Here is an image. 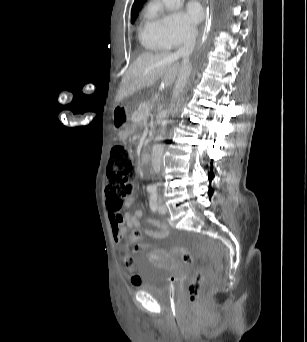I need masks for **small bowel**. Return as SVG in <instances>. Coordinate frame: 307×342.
I'll return each instance as SVG.
<instances>
[{
    "label": "small bowel",
    "mask_w": 307,
    "mask_h": 342,
    "mask_svg": "<svg viewBox=\"0 0 307 342\" xmlns=\"http://www.w3.org/2000/svg\"><path fill=\"white\" fill-rule=\"evenodd\" d=\"M132 198L127 200L131 204ZM110 227L113 242L119 245L124 242L125 252L127 253V229H144V233H149L153 239H164L168 235V228L162 221H144L142 211L138 210L134 214L125 213L124 215H113L110 212Z\"/></svg>",
    "instance_id": "obj_1"
}]
</instances>
